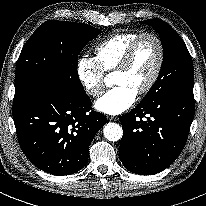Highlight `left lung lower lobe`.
Instances as JSON below:
<instances>
[{"mask_svg": "<svg viewBox=\"0 0 206 206\" xmlns=\"http://www.w3.org/2000/svg\"><path fill=\"white\" fill-rule=\"evenodd\" d=\"M193 117V92L140 103L123 115L119 156L124 167L141 175L166 169L184 148Z\"/></svg>", "mask_w": 206, "mask_h": 206, "instance_id": "obj_1", "label": "left lung lower lobe"}]
</instances>
